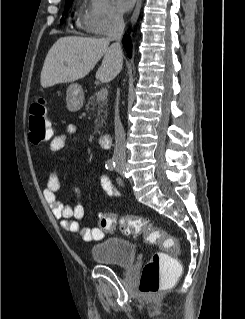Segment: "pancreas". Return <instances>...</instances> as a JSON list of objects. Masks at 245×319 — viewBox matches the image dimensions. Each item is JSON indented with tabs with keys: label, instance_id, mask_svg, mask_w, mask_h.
Returning <instances> with one entry per match:
<instances>
[{
	"label": "pancreas",
	"instance_id": "cf45deb5",
	"mask_svg": "<svg viewBox=\"0 0 245 319\" xmlns=\"http://www.w3.org/2000/svg\"><path fill=\"white\" fill-rule=\"evenodd\" d=\"M97 96H98V93H95L89 98V101L86 105V110L87 111H94L95 109L97 110L98 118L95 121V132L100 133V128L102 127L103 122L105 121L103 117L104 118L107 117V111L103 110L104 106L106 105V100H99ZM102 113L104 114V116L101 115Z\"/></svg>",
	"mask_w": 245,
	"mask_h": 319
}]
</instances>
